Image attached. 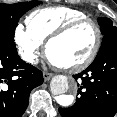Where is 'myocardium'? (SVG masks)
Segmentation results:
<instances>
[{
	"label": "myocardium",
	"mask_w": 117,
	"mask_h": 117,
	"mask_svg": "<svg viewBox=\"0 0 117 117\" xmlns=\"http://www.w3.org/2000/svg\"><path fill=\"white\" fill-rule=\"evenodd\" d=\"M87 24L93 26V28L95 29V32H96L95 43H94L93 49L91 50L90 54L79 63L73 64L70 66H58V65H55V66L60 68L63 71L69 72V73L79 72V71L86 69L88 66H90L93 63V61L95 60V58L97 57L100 47H101V43H102L101 28L96 21H94L93 19H90V18L78 19V20L72 21L70 23H67L64 26H62L60 29L55 31L53 34H51L48 37V39L46 40V44H45V54H46L47 59L50 61L49 49H50V46L55 41L60 40L61 38L67 36L69 33L74 31L78 27L87 25Z\"/></svg>",
	"instance_id": "f54148a6"
}]
</instances>
